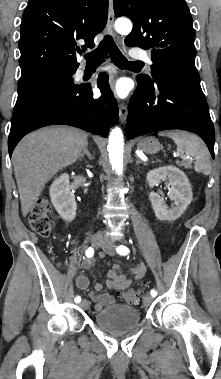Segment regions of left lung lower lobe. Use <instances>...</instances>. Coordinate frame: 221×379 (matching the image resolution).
Returning a JSON list of instances; mask_svg holds the SVG:
<instances>
[{
  "label": "left lung lower lobe",
  "mask_w": 221,
  "mask_h": 379,
  "mask_svg": "<svg viewBox=\"0 0 221 379\" xmlns=\"http://www.w3.org/2000/svg\"><path fill=\"white\" fill-rule=\"evenodd\" d=\"M125 128L131 139L155 131L182 129L198 134L214 156V127L200 81L154 71L149 81L137 79Z\"/></svg>",
  "instance_id": "left-lung-lower-lobe-1"
}]
</instances>
